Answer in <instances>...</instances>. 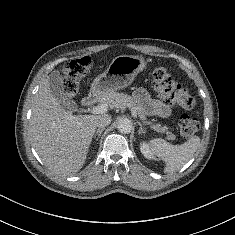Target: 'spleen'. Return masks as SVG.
Returning a JSON list of instances; mask_svg holds the SVG:
<instances>
[{
  "label": "spleen",
  "instance_id": "3e777b00",
  "mask_svg": "<svg viewBox=\"0 0 235 235\" xmlns=\"http://www.w3.org/2000/svg\"><path fill=\"white\" fill-rule=\"evenodd\" d=\"M200 145V138L194 136L181 145H172L161 138L150 141L155 155L165 162V173H172L183 167L194 155Z\"/></svg>",
  "mask_w": 235,
  "mask_h": 235
}]
</instances>
